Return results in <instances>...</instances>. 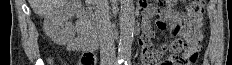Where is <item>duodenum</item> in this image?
Listing matches in <instances>:
<instances>
[{"instance_id":"obj_1","label":"duodenum","mask_w":232,"mask_h":65,"mask_svg":"<svg viewBox=\"0 0 232 65\" xmlns=\"http://www.w3.org/2000/svg\"><path fill=\"white\" fill-rule=\"evenodd\" d=\"M77 28L79 34L88 42V49L93 51L96 48V33L93 14L90 11L80 13Z\"/></svg>"}]
</instances>
